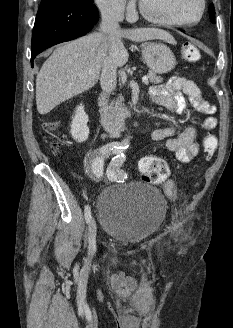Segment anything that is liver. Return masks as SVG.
Here are the masks:
<instances>
[{"label": "liver", "mask_w": 233, "mask_h": 328, "mask_svg": "<svg viewBox=\"0 0 233 328\" xmlns=\"http://www.w3.org/2000/svg\"><path fill=\"white\" fill-rule=\"evenodd\" d=\"M122 38L135 42L161 39L175 44L168 32L157 28H135L114 33H92L57 47L44 62L36 78V104L41 115L60 103L92 88L99 80L104 59L116 67L127 63L129 54Z\"/></svg>", "instance_id": "obj_1"}]
</instances>
